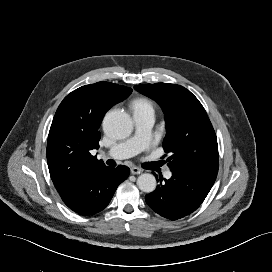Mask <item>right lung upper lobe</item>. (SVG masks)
Listing matches in <instances>:
<instances>
[{
  "label": "right lung upper lobe",
  "mask_w": 272,
  "mask_h": 272,
  "mask_svg": "<svg viewBox=\"0 0 272 272\" xmlns=\"http://www.w3.org/2000/svg\"><path fill=\"white\" fill-rule=\"evenodd\" d=\"M131 88L98 82L68 94L59 105L47 142V163L59 193L72 190L106 165L91 155L99 148V127L108 109L127 98Z\"/></svg>",
  "instance_id": "cb5924a9"
}]
</instances>
